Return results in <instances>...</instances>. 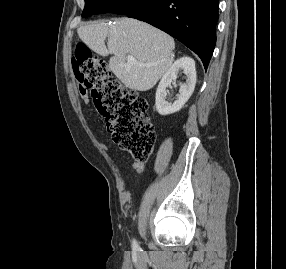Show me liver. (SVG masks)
Masks as SVG:
<instances>
[{"label":"liver","instance_id":"liver-1","mask_svg":"<svg viewBox=\"0 0 286 269\" xmlns=\"http://www.w3.org/2000/svg\"><path fill=\"white\" fill-rule=\"evenodd\" d=\"M77 32L94 52L103 57L113 54L109 60L110 70L134 91L151 89L173 63V38L136 19L122 18L112 25L96 21L80 27ZM127 55L133 56L137 63H128Z\"/></svg>","mask_w":286,"mask_h":269}]
</instances>
